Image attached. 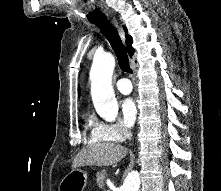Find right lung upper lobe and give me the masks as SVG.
Segmentation results:
<instances>
[{
    "mask_svg": "<svg viewBox=\"0 0 221 191\" xmlns=\"http://www.w3.org/2000/svg\"><path fill=\"white\" fill-rule=\"evenodd\" d=\"M124 29L126 32V44H127L128 53L132 57V55L134 54V49L132 48V37L128 35L127 29L125 27Z\"/></svg>",
    "mask_w": 221,
    "mask_h": 191,
    "instance_id": "1",
    "label": "right lung upper lobe"
}]
</instances>
